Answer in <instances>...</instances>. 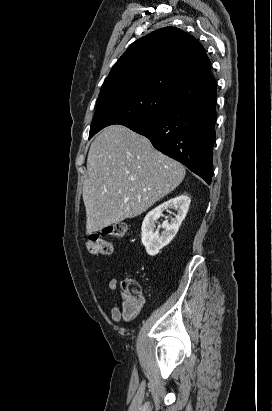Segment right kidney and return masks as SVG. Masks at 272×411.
<instances>
[{"instance_id": "right-kidney-1", "label": "right kidney", "mask_w": 272, "mask_h": 411, "mask_svg": "<svg viewBox=\"0 0 272 411\" xmlns=\"http://www.w3.org/2000/svg\"><path fill=\"white\" fill-rule=\"evenodd\" d=\"M190 202L191 199L187 195L182 194L162 203L146 215L142 223L141 240L146 252L150 256L157 255L159 251L168 245L176 236L182 221L186 217ZM168 208H173L177 211L175 218L170 222L164 221L162 225L158 226L157 230L154 231L157 220L162 215V212ZM160 227L164 229L161 234L159 233Z\"/></svg>"}]
</instances>
